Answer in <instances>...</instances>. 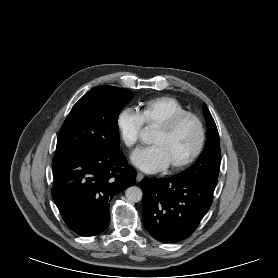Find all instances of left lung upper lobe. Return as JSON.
<instances>
[{
    "instance_id": "left-lung-upper-lobe-1",
    "label": "left lung upper lobe",
    "mask_w": 278,
    "mask_h": 278,
    "mask_svg": "<svg viewBox=\"0 0 278 278\" xmlns=\"http://www.w3.org/2000/svg\"><path fill=\"white\" fill-rule=\"evenodd\" d=\"M207 127V142L199 159L191 167L175 175L176 178L198 179L217 183L220 169V143L216 124L206 104L203 106Z\"/></svg>"
}]
</instances>
